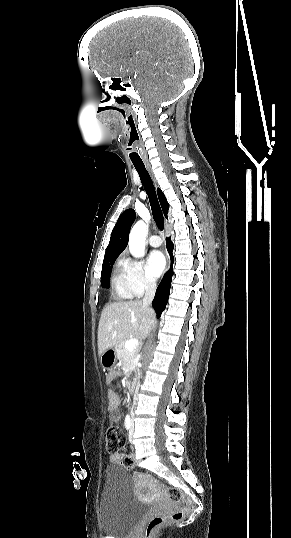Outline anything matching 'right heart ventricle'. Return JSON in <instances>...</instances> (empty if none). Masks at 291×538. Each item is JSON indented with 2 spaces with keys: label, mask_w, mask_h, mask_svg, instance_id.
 Listing matches in <instances>:
<instances>
[{
  "label": "right heart ventricle",
  "mask_w": 291,
  "mask_h": 538,
  "mask_svg": "<svg viewBox=\"0 0 291 538\" xmlns=\"http://www.w3.org/2000/svg\"><path fill=\"white\" fill-rule=\"evenodd\" d=\"M111 283L114 295L117 299L129 300L134 297L122 262L116 264L114 267Z\"/></svg>",
  "instance_id": "1"
}]
</instances>
